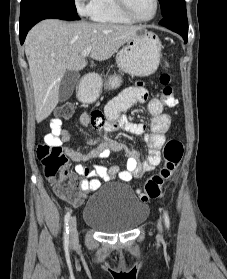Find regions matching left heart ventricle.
Returning a JSON list of instances; mask_svg holds the SVG:
<instances>
[{
	"label": "left heart ventricle",
	"instance_id": "1",
	"mask_svg": "<svg viewBox=\"0 0 227 279\" xmlns=\"http://www.w3.org/2000/svg\"><path fill=\"white\" fill-rule=\"evenodd\" d=\"M131 11L136 17H149L154 10V0H127Z\"/></svg>",
	"mask_w": 227,
	"mask_h": 279
}]
</instances>
